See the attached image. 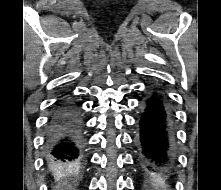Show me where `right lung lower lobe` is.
Here are the masks:
<instances>
[{"instance_id": "right-lung-lower-lobe-1", "label": "right lung lower lobe", "mask_w": 221, "mask_h": 190, "mask_svg": "<svg viewBox=\"0 0 221 190\" xmlns=\"http://www.w3.org/2000/svg\"><path fill=\"white\" fill-rule=\"evenodd\" d=\"M82 124L75 104L69 98L55 103L47 126L46 158L53 165L70 168L82 159Z\"/></svg>"}]
</instances>
